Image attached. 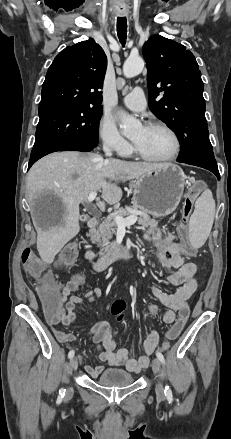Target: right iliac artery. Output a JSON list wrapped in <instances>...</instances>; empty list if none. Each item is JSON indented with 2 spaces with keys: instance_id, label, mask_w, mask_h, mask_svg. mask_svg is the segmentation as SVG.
<instances>
[{
  "instance_id": "82829eb1",
  "label": "right iliac artery",
  "mask_w": 231,
  "mask_h": 439,
  "mask_svg": "<svg viewBox=\"0 0 231 439\" xmlns=\"http://www.w3.org/2000/svg\"><path fill=\"white\" fill-rule=\"evenodd\" d=\"M74 354H75V351L74 350H71V351H69V353H68V358H72L73 356H74ZM65 389L64 388H61L60 390H59V398L60 399H62L63 397H64V395H65Z\"/></svg>"
}]
</instances>
